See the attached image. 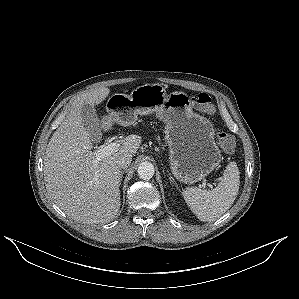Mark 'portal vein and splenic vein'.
Returning a JSON list of instances; mask_svg holds the SVG:
<instances>
[{
  "mask_svg": "<svg viewBox=\"0 0 299 299\" xmlns=\"http://www.w3.org/2000/svg\"><path fill=\"white\" fill-rule=\"evenodd\" d=\"M120 148V143L117 142H111L110 144H108L107 146H105L104 148H101L99 150L94 151V155L96 157L95 159V164H97L102 158L107 157L112 155L113 153L117 152ZM203 188H205L206 183L204 182L201 185ZM207 186L209 188H213V186L211 184H207Z\"/></svg>",
  "mask_w": 299,
  "mask_h": 299,
  "instance_id": "1",
  "label": "portal vein and splenic vein"
}]
</instances>
